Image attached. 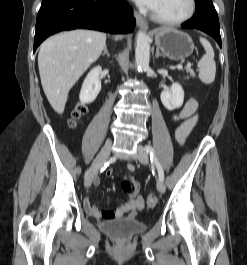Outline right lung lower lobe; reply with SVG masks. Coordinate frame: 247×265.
Listing matches in <instances>:
<instances>
[{"mask_svg": "<svg viewBox=\"0 0 247 265\" xmlns=\"http://www.w3.org/2000/svg\"><path fill=\"white\" fill-rule=\"evenodd\" d=\"M77 28L129 33L135 28L133 10L126 0H42L34 51L48 36Z\"/></svg>", "mask_w": 247, "mask_h": 265, "instance_id": "98d812e1", "label": "right lung lower lobe"}]
</instances>
